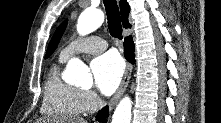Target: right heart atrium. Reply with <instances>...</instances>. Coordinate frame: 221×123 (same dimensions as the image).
<instances>
[{
	"instance_id": "1",
	"label": "right heart atrium",
	"mask_w": 221,
	"mask_h": 123,
	"mask_svg": "<svg viewBox=\"0 0 221 123\" xmlns=\"http://www.w3.org/2000/svg\"><path fill=\"white\" fill-rule=\"evenodd\" d=\"M81 99H82L85 112L94 110L97 107L98 102H99L97 95L90 90H82Z\"/></svg>"
}]
</instances>
